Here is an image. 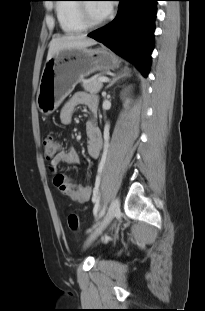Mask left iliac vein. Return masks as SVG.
Instances as JSON below:
<instances>
[{
    "label": "left iliac vein",
    "instance_id": "obj_1",
    "mask_svg": "<svg viewBox=\"0 0 205 311\" xmlns=\"http://www.w3.org/2000/svg\"><path fill=\"white\" fill-rule=\"evenodd\" d=\"M120 212V200L119 198H114L107 210V213L100 224L94 229V231L89 236L86 244H90L94 239H96L110 224L113 218Z\"/></svg>",
    "mask_w": 205,
    "mask_h": 311
}]
</instances>
